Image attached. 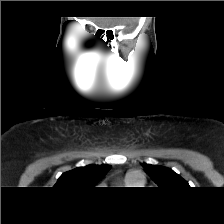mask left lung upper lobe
<instances>
[{
	"label": "left lung upper lobe",
	"instance_id": "5c2ea615",
	"mask_svg": "<svg viewBox=\"0 0 224 224\" xmlns=\"http://www.w3.org/2000/svg\"><path fill=\"white\" fill-rule=\"evenodd\" d=\"M142 166L149 173L155 183L162 189L180 190L190 187L188 182L170 168L146 163Z\"/></svg>",
	"mask_w": 224,
	"mask_h": 224
}]
</instances>
